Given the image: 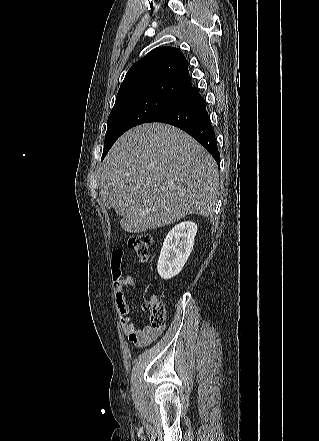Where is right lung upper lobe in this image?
<instances>
[{
    "instance_id": "obj_1",
    "label": "right lung upper lobe",
    "mask_w": 319,
    "mask_h": 441,
    "mask_svg": "<svg viewBox=\"0 0 319 441\" xmlns=\"http://www.w3.org/2000/svg\"><path fill=\"white\" fill-rule=\"evenodd\" d=\"M191 86L183 53L175 47H159L131 66L120 86L115 105L141 97L173 103Z\"/></svg>"
}]
</instances>
